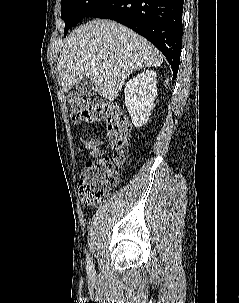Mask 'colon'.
<instances>
[{
  "label": "colon",
  "instance_id": "colon-1",
  "mask_svg": "<svg viewBox=\"0 0 239 303\" xmlns=\"http://www.w3.org/2000/svg\"><path fill=\"white\" fill-rule=\"evenodd\" d=\"M71 117L75 122L105 124L112 154L88 161L79 179V196L84 205H99L118 184L130 139L131 125L124 113L101 99H90L79 93L69 95Z\"/></svg>",
  "mask_w": 239,
  "mask_h": 303
}]
</instances>
